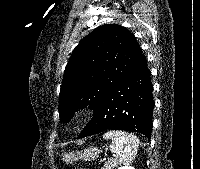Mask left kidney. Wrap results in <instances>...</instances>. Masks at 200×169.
<instances>
[{
  "instance_id": "left-kidney-1",
  "label": "left kidney",
  "mask_w": 200,
  "mask_h": 169,
  "mask_svg": "<svg viewBox=\"0 0 200 169\" xmlns=\"http://www.w3.org/2000/svg\"><path fill=\"white\" fill-rule=\"evenodd\" d=\"M118 169H135V168L132 166L125 165V166L119 167Z\"/></svg>"
}]
</instances>
